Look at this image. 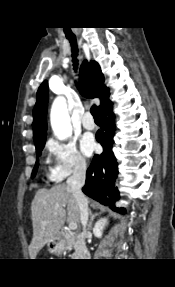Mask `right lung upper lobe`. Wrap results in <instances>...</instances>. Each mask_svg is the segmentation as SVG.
Here are the masks:
<instances>
[{"label": "right lung upper lobe", "mask_w": 175, "mask_h": 287, "mask_svg": "<svg viewBox=\"0 0 175 287\" xmlns=\"http://www.w3.org/2000/svg\"><path fill=\"white\" fill-rule=\"evenodd\" d=\"M82 85H77L81 94L86 98L100 99V112L112 105L109 100V88L104 86V76L97 62L90 64L85 60L81 66ZM48 102V83L44 81L38 89L36 104L33 110V138L39 143L46 139V114Z\"/></svg>", "instance_id": "1"}]
</instances>
